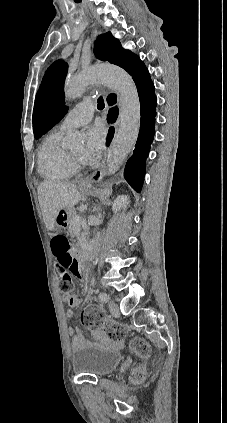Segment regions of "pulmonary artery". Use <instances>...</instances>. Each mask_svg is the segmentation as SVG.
<instances>
[{
	"label": "pulmonary artery",
	"instance_id": "e3ab8cb5",
	"mask_svg": "<svg viewBox=\"0 0 227 423\" xmlns=\"http://www.w3.org/2000/svg\"><path fill=\"white\" fill-rule=\"evenodd\" d=\"M93 117V104L90 100L78 103L61 121L59 128L71 130L88 124Z\"/></svg>",
	"mask_w": 227,
	"mask_h": 423
}]
</instances>
